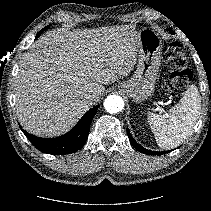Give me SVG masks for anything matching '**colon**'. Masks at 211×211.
<instances>
[{"label":"colon","instance_id":"obj_1","mask_svg":"<svg viewBox=\"0 0 211 211\" xmlns=\"http://www.w3.org/2000/svg\"><path fill=\"white\" fill-rule=\"evenodd\" d=\"M164 61L172 69L165 76V84L171 95L179 97L185 92L192 78L190 71L182 69L186 64L183 47L176 42L170 44Z\"/></svg>","mask_w":211,"mask_h":211}]
</instances>
